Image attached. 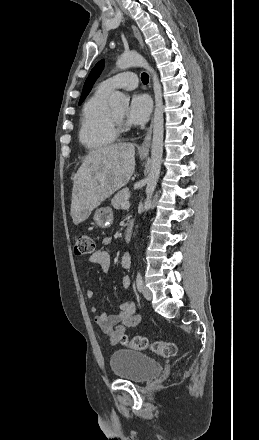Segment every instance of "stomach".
<instances>
[{
	"label": "stomach",
	"instance_id": "1",
	"mask_svg": "<svg viewBox=\"0 0 259 440\" xmlns=\"http://www.w3.org/2000/svg\"><path fill=\"white\" fill-rule=\"evenodd\" d=\"M93 220L100 228H108L113 222V211L110 207H101L93 215Z\"/></svg>",
	"mask_w": 259,
	"mask_h": 440
}]
</instances>
